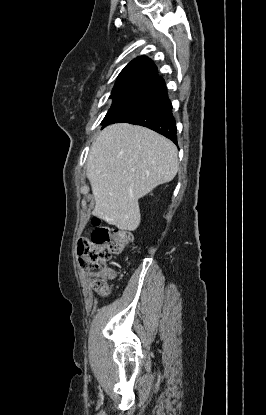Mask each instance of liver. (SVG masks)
Masks as SVG:
<instances>
[{"label": "liver", "mask_w": 266, "mask_h": 415, "mask_svg": "<svg viewBox=\"0 0 266 415\" xmlns=\"http://www.w3.org/2000/svg\"><path fill=\"white\" fill-rule=\"evenodd\" d=\"M177 171V148L169 139L127 123L106 127L87 159L92 214L118 229L136 230L141 222L138 199L173 180Z\"/></svg>", "instance_id": "6515ba94"}]
</instances>
